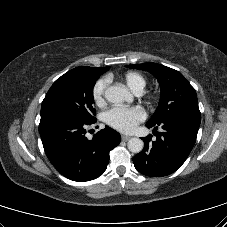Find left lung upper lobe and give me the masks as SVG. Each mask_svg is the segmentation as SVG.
Masks as SVG:
<instances>
[{"label":"left lung upper lobe","instance_id":"5c2ea615","mask_svg":"<svg viewBox=\"0 0 227 227\" xmlns=\"http://www.w3.org/2000/svg\"><path fill=\"white\" fill-rule=\"evenodd\" d=\"M126 67L149 71L160 84L159 105L147 124L157 125L170 118L186 115L200 117L196 92L181 73L155 63L127 65Z\"/></svg>","mask_w":227,"mask_h":227}]
</instances>
